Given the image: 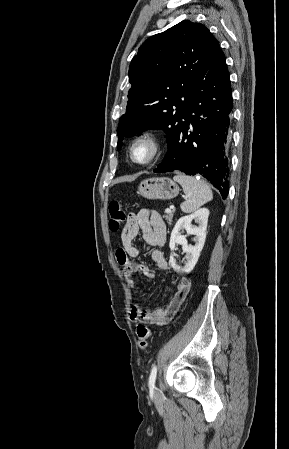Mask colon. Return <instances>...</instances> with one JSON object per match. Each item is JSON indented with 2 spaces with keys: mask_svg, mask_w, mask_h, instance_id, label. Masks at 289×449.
<instances>
[{
  "mask_svg": "<svg viewBox=\"0 0 289 449\" xmlns=\"http://www.w3.org/2000/svg\"><path fill=\"white\" fill-rule=\"evenodd\" d=\"M127 213L120 201H112L109 204V227L111 231H118L126 221ZM138 346L141 350H145L148 345V339L151 331L145 325H139L136 329Z\"/></svg>",
  "mask_w": 289,
  "mask_h": 449,
  "instance_id": "colon-1",
  "label": "colon"
}]
</instances>
